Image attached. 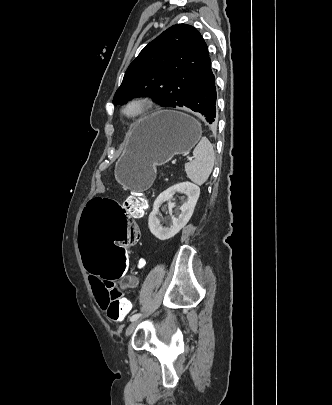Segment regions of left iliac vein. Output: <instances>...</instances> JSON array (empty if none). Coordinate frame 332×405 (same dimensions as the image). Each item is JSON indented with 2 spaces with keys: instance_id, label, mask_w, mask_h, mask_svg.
<instances>
[{
  "instance_id": "obj_1",
  "label": "left iliac vein",
  "mask_w": 332,
  "mask_h": 405,
  "mask_svg": "<svg viewBox=\"0 0 332 405\" xmlns=\"http://www.w3.org/2000/svg\"><path fill=\"white\" fill-rule=\"evenodd\" d=\"M139 323H140V321H138V320H135L130 323V325L127 327L126 333H125L127 337L132 334V332L135 330V328L138 326Z\"/></svg>"
}]
</instances>
